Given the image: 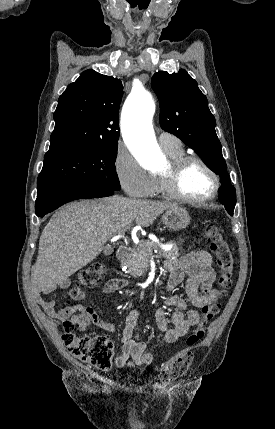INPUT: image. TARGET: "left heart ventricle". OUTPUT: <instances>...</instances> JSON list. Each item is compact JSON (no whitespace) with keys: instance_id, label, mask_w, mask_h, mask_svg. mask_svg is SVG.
I'll list each match as a JSON object with an SVG mask.
<instances>
[{"instance_id":"left-heart-ventricle-1","label":"left heart ventricle","mask_w":275,"mask_h":429,"mask_svg":"<svg viewBox=\"0 0 275 429\" xmlns=\"http://www.w3.org/2000/svg\"><path fill=\"white\" fill-rule=\"evenodd\" d=\"M168 164L161 170L167 169ZM180 191L194 199H203L213 190V180L208 172L198 163L189 164L179 179Z\"/></svg>"}]
</instances>
